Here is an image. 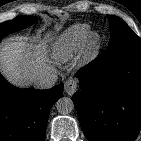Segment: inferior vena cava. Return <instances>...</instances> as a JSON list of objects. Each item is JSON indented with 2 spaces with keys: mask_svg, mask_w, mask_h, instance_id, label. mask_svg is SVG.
Wrapping results in <instances>:
<instances>
[{
  "mask_svg": "<svg viewBox=\"0 0 141 141\" xmlns=\"http://www.w3.org/2000/svg\"><path fill=\"white\" fill-rule=\"evenodd\" d=\"M57 81V74L46 73L34 81V87L37 89H50Z\"/></svg>",
  "mask_w": 141,
  "mask_h": 141,
  "instance_id": "1",
  "label": "inferior vena cava"
}]
</instances>
